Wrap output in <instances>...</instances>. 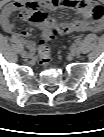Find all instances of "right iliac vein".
I'll return each mask as SVG.
<instances>
[{
  "mask_svg": "<svg viewBox=\"0 0 104 137\" xmlns=\"http://www.w3.org/2000/svg\"><path fill=\"white\" fill-rule=\"evenodd\" d=\"M21 56L24 57V58H27V59H30V58L33 57V55L31 53H27L25 51L21 52Z\"/></svg>",
  "mask_w": 104,
  "mask_h": 137,
  "instance_id": "1",
  "label": "right iliac vein"
}]
</instances>
